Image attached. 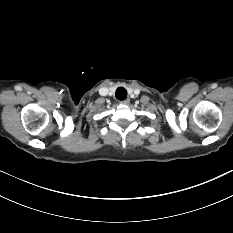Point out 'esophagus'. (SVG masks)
<instances>
[{"mask_svg":"<svg viewBox=\"0 0 233 233\" xmlns=\"http://www.w3.org/2000/svg\"><path fill=\"white\" fill-rule=\"evenodd\" d=\"M122 105H129L130 103V100L129 99H126V100H123L120 102Z\"/></svg>","mask_w":233,"mask_h":233,"instance_id":"esophagus-1","label":"esophagus"}]
</instances>
